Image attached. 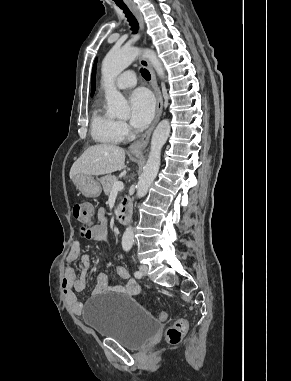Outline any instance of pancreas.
Here are the masks:
<instances>
[{
	"label": "pancreas",
	"instance_id": "1",
	"mask_svg": "<svg viewBox=\"0 0 291 381\" xmlns=\"http://www.w3.org/2000/svg\"><path fill=\"white\" fill-rule=\"evenodd\" d=\"M100 182L103 186L105 195L109 196L112 192L113 185L117 182L115 175H106L101 177Z\"/></svg>",
	"mask_w": 291,
	"mask_h": 381
}]
</instances>
